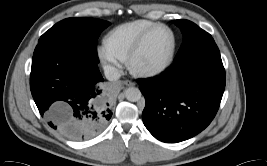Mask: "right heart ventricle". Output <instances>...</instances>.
I'll return each instance as SVG.
<instances>
[{
    "mask_svg": "<svg viewBox=\"0 0 267 166\" xmlns=\"http://www.w3.org/2000/svg\"><path fill=\"white\" fill-rule=\"evenodd\" d=\"M156 24V22L146 19L121 24L110 31L107 42L124 61L139 38Z\"/></svg>",
    "mask_w": 267,
    "mask_h": 166,
    "instance_id": "e07e8e85",
    "label": "right heart ventricle"
}]
</instances>
